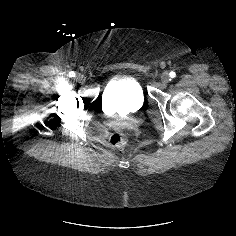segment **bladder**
<instances>
[{
  "mask_svg": "<svg viewBox=\"0 0 236 236\" xmlns=\"http://www.w3.org/2000/svg\"><path fill=\"white\" fill-rule=\"evenodd\" d=\"M103 99L109 108L129 112L134 107H141L145 96L137 78L120 76L106 86Z\"/></svg>",
  "mask_w": 236,
  "mask_h": 236,
  "instance_id": "1",
  "label": "bladder"
}]
</instances>
